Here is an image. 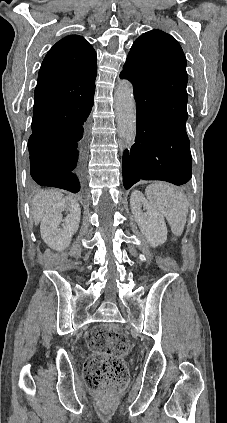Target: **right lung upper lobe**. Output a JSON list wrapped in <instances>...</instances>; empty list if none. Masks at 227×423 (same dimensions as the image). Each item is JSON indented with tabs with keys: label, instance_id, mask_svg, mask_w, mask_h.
I'll return each mask as SVG.
<instances>
[{
	"label": "right lung upper lobe",
	"instance_id": "cb5924a9",
	"mask_svg": "<svg viewBox=\"0 0 227 423\" xmlns=\"http://www.w3.org/2000/svg\"><path fill=\"white\" fill-rule=\"evenodd\" d=\"M97 74L96 53L82 36L70 35L58 41L41 65L34 98L63 101L94 95ZM33 134L40 129L32 127Z\"/></svg>",
	"mask_w": 227,
	"mask_h": 423
}]
</instances>
